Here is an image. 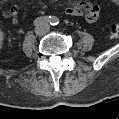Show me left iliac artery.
Listing matches in <instances>:
<instances>
[{"instance_id": "44dca946", "label": "left iliac artery", "mask_w": 119, "mask_h": 119, "mask_svg": "<svg viewBox=\"0 0 119 119\" xmlns=\"http://www.w3.org/2000/svg\"><path fill=\"white\" fill-rule=\"evenodd\" d=\"M59 23L56 17H53L52 21L50 22L51 25H57Z\"/></svg>"}]
</instances>
